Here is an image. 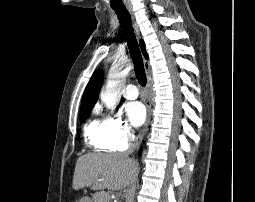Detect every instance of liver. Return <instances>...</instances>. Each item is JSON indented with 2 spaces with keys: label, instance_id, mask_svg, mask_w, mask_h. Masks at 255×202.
<instances>
[{
  "label": "liver",
  "instance_id": "liver-1",
  "mask_svg": "<svg viewBox=\"0 0 255 202\" xmlns=\"http://www.w3.org/2000/svg\"><path fill=\"white\" fill-rule=\"evenodd\" d=\"M137 171V162L126 154L89 153L78 158L72 187L121 190L135 180Z\"/></svg>",
  "mask_w": 255,
  "mask_h": 202
}]
</instances>
